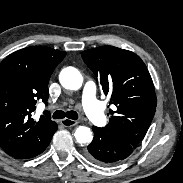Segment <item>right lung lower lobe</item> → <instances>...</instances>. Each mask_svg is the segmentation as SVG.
<instances>
[{"instance_id":"98d812e1","label":"right lung lower lobe","mask_w":183,"mask_h":183,"mask_svg":"<svg viewBox=\"0 0 183 183\" xmlns=\"http://www.w3.org/2000/svg\"><path fill=\"white\" fill-rule=\"evenodd\" d=\"M57 130V127H56V129H55V131ZM55 131H54V133H55ZM53 133V134H54ZM53 134H52V136H53ZM52 136H51V138L48 140V142L44 145V147L42 148V150H41V153L46 149V147L48 146V144L50 143V141H51V139H52Z\"/></svg>"}]
</instances>
